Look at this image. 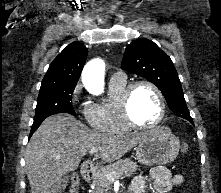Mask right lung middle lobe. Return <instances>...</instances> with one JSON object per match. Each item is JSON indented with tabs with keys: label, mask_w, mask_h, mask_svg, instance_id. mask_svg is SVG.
<instances>
[{
	"label": "right lung middle lobe",
	"mask_w": 221,
	"mask_h": 193,
	"mask_svg": "<svg viewBox=\"0 0 221 193\" xmlns=\"http://www.w3.org/2000/svg\"><path fill=\"white\" fill-rule=\"evenodd\" d=\"M75 86L40 88L37 99L34 122L42 121L57 113L75 114L72 106V94Z\"/></svg>",
	"instance_id": "1"
}]
</instances>
